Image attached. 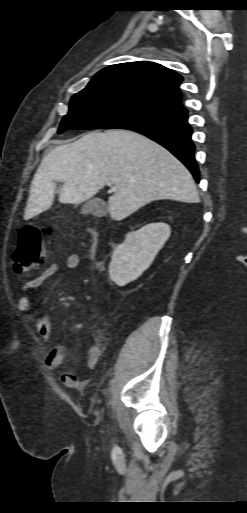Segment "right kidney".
<instances>
[{
  "instance_id": "ca27d5eb",
  "label": "right kidney",
  "mask_w": 247,
  "mask_h": 513,
  "mask_svg": "<svg viewBox=\"0 0 247 513\" xmlns=\"http://www.w3.org/2000/svg\"><path fill=\"white\" fill-rule=\"evenodd\" d=\"M171 233L165 223H151L127 234L113 252L109 265L110 279L119 286L136 280L148 269Z\"/></svg>"
}]
</instances>
